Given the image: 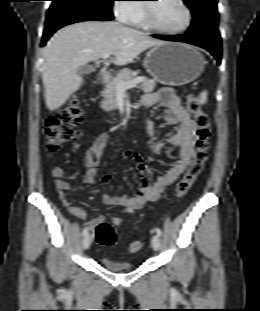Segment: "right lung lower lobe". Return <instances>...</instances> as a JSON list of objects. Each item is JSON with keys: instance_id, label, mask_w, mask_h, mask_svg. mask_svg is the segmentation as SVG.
Instances as JSON below:
<instances>
[{"instance_id": "98d812e1", "label": "right lung lower lobe", "mask_w": 260, "mask_h": 311, "mask_svg": "<svg viewBox=\"0 0 260 311\" xmlns=\"http://www.w3.org/2000/svg\"><path fill=\"white\" fill-rule=\"evenodd\" d=\"M113 16L104 15L71 4L60 3L57 6L51 5L45 23V30L41 45H45L49 37L59 28L81 21H109Z\"/></svg>"}]
</instances>
